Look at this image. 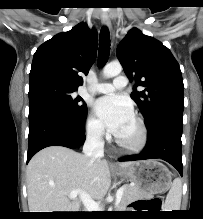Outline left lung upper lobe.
Returning a JSON list of instances; mask_svg holds the SVG:
<instances>
[{
  "instance_id": "obj_1",
  "label": "left lung upper lobe",
  "mask_w": 203,
  "mask_h": 219,
  "mask_svg": "<svg viewBox=\"0 0 203 219\" xmlns=\"http://www.w3.org/2000/svg\"><path fill=\"white\" fill-rule=\"evenodd\" d=\"M125 74L136 84L131 98L141 110L147 128L170 114H183V79L178 62L158 40L133 28L117 47ZM142 86L143 91L136 87Z\"/></svg>"
}]
</instances>
